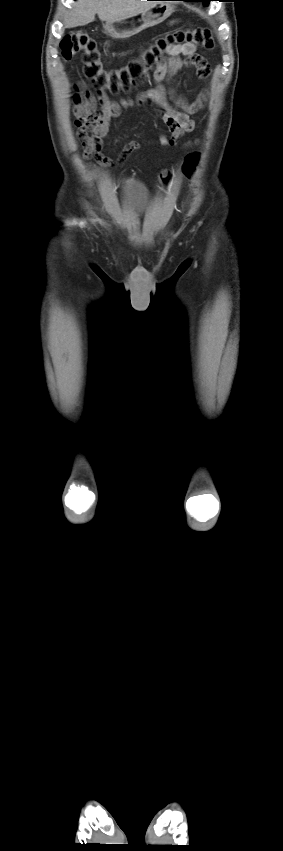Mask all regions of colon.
Returning a JSON list of instances; mask_svg holds the SVG:
<instances>
[{"label": "colon", "mask_w": 283, "mask_h": 851, "mask_svg": "<svg viewBox=\"0 0 283 851\" xmlns=\"http://www.w3.org/2000/svg\"><path fill=\"white\" fill-rule=\"evenodd\" d=\"M192 44L203 48H212L214 45L213 35L209 29L203 28H177L157 36L154 41L140 55L139 59L132 61L127 67L106 70L101 60V52L97 42L83 30L75 31L65 36L60 44L62 57L70 60L81 53L84 64V74L92 82L97 92L104 89L112 93L127 91L133 85L142 83L147 70H156L164 60L171 46ZM197 153L189 154L184 162L183 171L188 177L192 176L198 163ZM160 180L169 184L172 176L169 172H162Z\"/></svg>", "instance_id": "colon-1"}]
</instances>
